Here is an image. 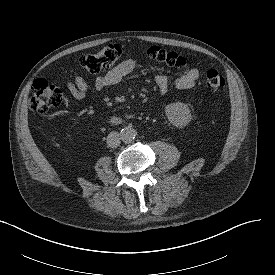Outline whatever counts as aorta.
Here are the masks:
<instances>
[{"instance_id":"1","label":"aorta","mask_w":275,"mask_h":275,"mask_svg":"<svg viewBox=\"0 0 275 275\" xmlns=\"http://www.w3.org/2000/svg\"><path fill=\"white\" fill-rule=\"evenodd\" d=\"M136 131L132 127H125L120 131V138L123 142L129 143L135 139Z\"/></svg>"}]
</instances>
